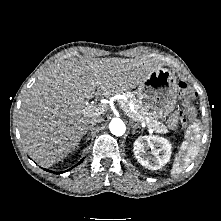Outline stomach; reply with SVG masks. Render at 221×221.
Returning a JSON list of instances; mask_svg holds the SVG:
<instances>
[{"label":"stomach","mask_w":221,"mask_h":221,"mask_svg":"<svg viewBox=\"0 0 221 221\" xmlns=\"http://www.w3.org/2000/svg\"><path fill=\"white\" fill-rule=\"evenodd\" d=\"M141 110L154 119L167 117L177 103V81L166 68H158L144 78L137 90Z\"/></svg>","instance_id":"stomach-1"}]
</instances>
